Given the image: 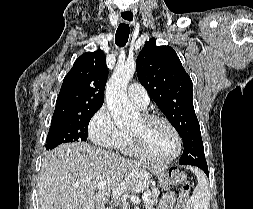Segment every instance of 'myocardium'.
I'll return each instance as SVG.
<instances>
[{"mask_svg": "<svg viewBox=\"0 0 253 209\" xmlns=\"http://www.w3.org/2000/svg\"><path fill=\"white\" fill-rule=\"evenodd\" d=\"M141 117L145 123H150L153 121H160V122L165 123L172 130V132L175 136L176 148H175V151L172 153V155L167 158L154 157L153 155L149 154L144 149L141 136L130 131V137H131L133 147H134L136 153L140 157H142L148 161L158 163V164H167V163H171L172 161H174L179 156V154L182 150V138H181V135H180L178 129L176 128V126L168 118H166L162 115L152 114V113H144Z\"/></svg>", "mask_w": 253, "mask_h": 209, "instance_id": "myocardium-1", "label": "myocardium"}]
</instances>
